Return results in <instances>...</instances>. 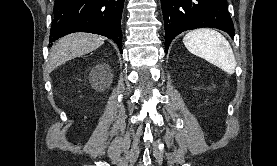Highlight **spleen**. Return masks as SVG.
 Instances as JSON below:
<instances>
[{
	"label": "spleen",
	"mask_w": 277,
	"mask_h": 166,
	"mask_svg": "<svg viewBox=\"0 0 277 166\" xmlns=\"http://www.w3.org/2000/svg\"><path fill=\"white\" fill-rule=\"evenodd\" d=\"M183 43L189 52L216 65L228 74L235 72L236 60L226 38L216 30L202 28L188 32Z\"/></svg>",
	"instance_id": "1"
}]
</instances>
